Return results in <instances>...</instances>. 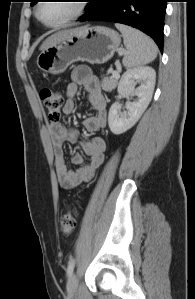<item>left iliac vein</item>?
<instances>
[{
    "label": "left iliac vein",
    "instance_id": "1",
    "mask_svg": "<svg viewBox=\"0 0 195 299\" xmlns=\"http://www.w3.org/2000/svg\"><path fill=\"white\" fill-rule=\"evenodd\" d=\"M78 288V280L75 273H72L69 276L68 282H67V291L70 295H74L77 292Z\"/></svg>",
    "mask_w": 195,
    "mask_h": 299
}]
</instances>
